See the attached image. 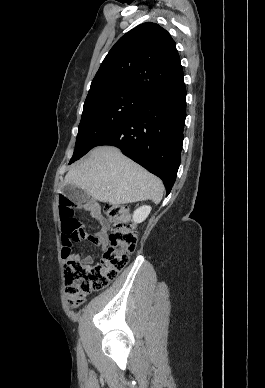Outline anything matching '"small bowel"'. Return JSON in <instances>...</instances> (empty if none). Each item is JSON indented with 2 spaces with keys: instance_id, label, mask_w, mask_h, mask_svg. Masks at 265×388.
I'll return each mask as SVG.
<instances>
[{
  "instance_id": "small-bowel-1",
  "label": "small bowel",
  "mask_w": 265,
  "mask_h": 388,
  "mask_svg": "<svg viewBox=\"0 0 265 388\" xmlns=\"http://www.w3.org/2000/svg\"><path fill=\"white\" fill-rule=\"evenodd\" d=\"M79 207L85 211H88L100 225V231L93 235H88L86 239L101 249H105L108 245V232L110 229V224L103 216L100 207L97 203L92 201L81 203ZM74 257L79 260L78 256ZM81 262L87 265H91L93 263V258L92 256H85Z\"/></svg>"
}]
</instances>
